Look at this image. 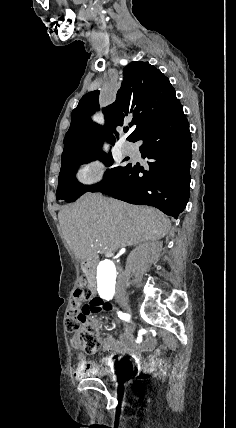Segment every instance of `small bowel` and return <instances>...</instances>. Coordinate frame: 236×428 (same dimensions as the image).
<instances>
[{
    "label": "small bowel",
    "mask_w": 236,
    "mask_h": 428,
    "mask_svg": "<svg viewBox=\"0 0 236 428\" xmlns=\"http://www.w3.org/2000/svg\"><path fill=\"white\" fill-rule=\"evenodd\" d=\"M132 333L133 329L126 327L119 338L110 335L106 336L103 339V351L105 354L98 359L99 364L112 367L118 359L124 356H130L143 368L154 367L157 364V360H145L142 356V352L150 351L155 347V338L151 335H147L146 338L142 340V334H139V342H135L131 337ZM157 354H160V351H158ZM97 366L98 364L89 361L84 353H79L75 366V375H82L86 371L95 369Z\"/></svg>",
    "instance_id": "1"
}]
</instances>
